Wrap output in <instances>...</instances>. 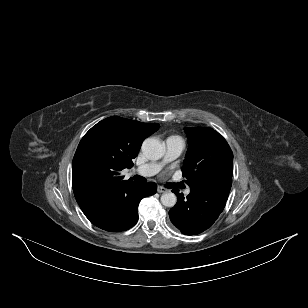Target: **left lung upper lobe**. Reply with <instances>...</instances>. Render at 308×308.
I'll return each instance as SVG.
<instances>
[{"instance_id":"5c2ea615","label":"left lung upper lobe","mask_w":308,"mask_h":308,"mask_svg":"<svg viewBox=\"0 0 308 308\" xmlns=\"http://www.w3.org/2000/svg\"><path fill=\"white\" fill-rule=\"evenodd\" d=\"M189 148L182 172L192 187L223 177L233 176V153L226 140L215 130L185 128Z\"/></svg>"}]
</instances>
